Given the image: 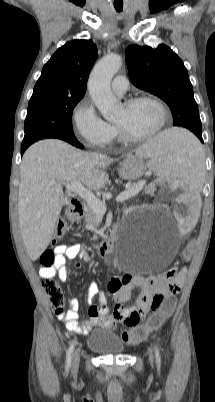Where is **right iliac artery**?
I'll return each instance as SVG.
<instances>
[{
  "label": "right iliac artery",
  "mask_w": 215,
  "mask_h": 402,
  "mask_svg": "<svg viewBox=\"0 0 215 402\" xmlns=\"http://www.w3.org/2000/svg\"><path fill=\"white\" fill-rule=\"evenodd\" d=\"M74 342L73 341L67 351V356H66V364H65V370L68 372L70 365H71V360H72V354H73V349H74Z\"/></svg>",
  "instance_id": "1"
}]
</instances>
